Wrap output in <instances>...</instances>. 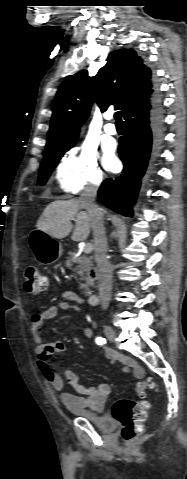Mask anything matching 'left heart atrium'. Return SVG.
I'll use <instances>...</instances> for the list:
<instances>
[{
  "mask_svg": "<svg viewBox=\"0 0 187 479\" xmlns=\"http://www.w3.org/2000/svg\"><path fill=\"white\" fill-rule=\"evenodd\" d=\"M104 163L110 170L115 171L119 167V161L115 157L113 150L108 149L105 152Z\"/></svg>",
  "mask_w": 187,
  "mask_h": 479,
  "instance_id": "39dd6f15",
  "label": "left heart atrium"
}]
</instances>
